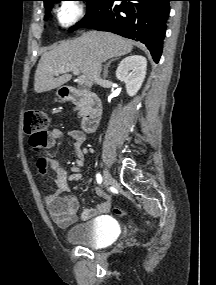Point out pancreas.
I'll return each instance as SVG.
<instances>
[{"label":"pancreas","mask_w":216,"mask_h":285,"mask_svg":"<svg viewBox=\"0 0 216 285\" xmlns=\"http://www.w3.org/2000/svg\"><path fill=\"white\" fill-rule=\"evenodd\" d=\"M77 110H79L80 113H82V112L85 110V106H84L83 104H79V105L77 106Z\"/></svg>","instance_id":"cf45deb5"}]
</instances>
